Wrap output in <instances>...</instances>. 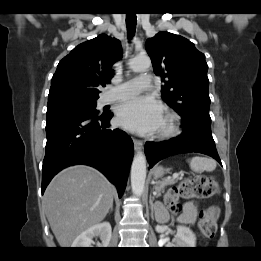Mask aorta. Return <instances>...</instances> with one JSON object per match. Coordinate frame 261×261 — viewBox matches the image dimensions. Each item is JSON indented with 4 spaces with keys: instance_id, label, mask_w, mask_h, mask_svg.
<instances>
[{
    "instance_id": "1",
    "label": "aorta",
    "mask_w": 261,
    "mask_h": 261,
    "mask_svg": "<svg viewBox=\"0 0 261 261\" xmlns=\"http://www.w3.org/2000/svg\"><path fill=\"white\" fill-rule=\"evenodd\" d=\"M151 60L148 56H137L130 60V69L134 72H141L148 69ZM146 180V157L143 153L135 155L131 166V188L136 196H142Z\"/></svg>"
}]
</instances>
